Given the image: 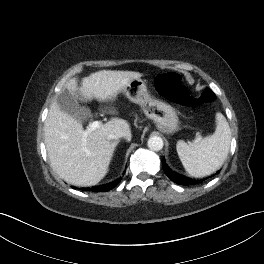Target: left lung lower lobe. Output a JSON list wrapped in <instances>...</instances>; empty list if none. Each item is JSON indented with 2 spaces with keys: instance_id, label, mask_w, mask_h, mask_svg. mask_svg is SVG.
I'll use <instances>...</instances> for the list:
<instances>
[{
  "instance_id": "obj_1",
  "label": "left lung lower lobe",
  "mask_w": 264,
  "mask_h": 264,
  "mask_svg": "<svg viewBox=\"0 0 264 264\" xmlns=\"http://www.w3.org/2000/svg\"><path fill=\"white\" fill-rule=\"evenodd\" d=\"M162 166H163V170L166 173V175L175 183L180 184V185H195L198 184L200 182H202L203 180H196V179H191L188 178L182 174L176 173L174 171H172L167 164L165 163V160L163 158L162 160Z\"/></svg>"
}]
</instances>
